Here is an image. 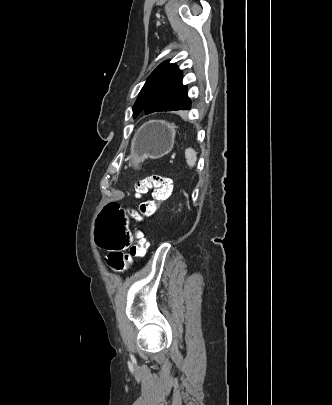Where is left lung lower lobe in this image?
I'll list each match as a JSON object with an SVG mask.
<instances>
[{"instance_id":"obj_1","label":"left lung lower lobe","mask_w":332,"mask_h":405,"mask_svg":"<svg viewBox=\"0 0 332 405\" xmlns=\"http://www.w3.org/2000/svg\"><path fill=\"white\" fill-rule=\"evenodd\" d=\"M153 109H154V108H152L151 106H149V107H147V108L145 109V113H146V114H150V113L156 112V111H153Z\"/></svg>"}]
</instances>
